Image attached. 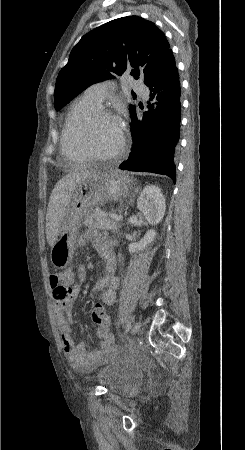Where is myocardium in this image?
<instances>
[{
  "label": "myocardium",
  "instance_id": "1",
  "mask_svg": "<svg viewBox=\"0 0 245 450\" xmlns=\"http://www.w3.org/2000/svg\"><path fill=\"white\" fill-rule=\"evenodd\" d=\"M102 120H113L120 124L121 126V142L119 147L109 153V154H100L98 153L91 141V136L93 129L95 125L102 121ZM84 131L80 132L78 131V141L80 146L83 148V150L88 155L89 159L95 160V161H109L116 158H120L124 155L126 148H127V133L126 129L122 123V121L117 117L114 113L104 110L102 108H99L95 110L93 113H91L84 122Z\"/></svg>",
  "mask_w": 245,
  "mask_h": 450
}]
</instances>
